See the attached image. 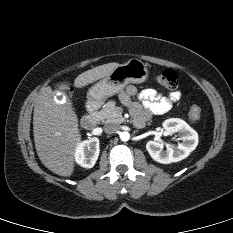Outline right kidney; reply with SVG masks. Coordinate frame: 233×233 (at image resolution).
Segmentation results:
<instances>
[{
	"label": "right kidney",
	"mask_w": 233,
	"mask_h": 233,
	"mask_svg": "<svg viewBox=\"0 0 233 233\" xmlns=\"http://www.w3.org/2000/svg\"><path fill=\"white\" fill-rule=\"evenodd\" d=\"M99 153V139L93 137L78 143L75 150V160L82 167L92 168L98 159Z\"/></svg>",
	"instance_id": "ca27d5eb"
}]
</instances>
